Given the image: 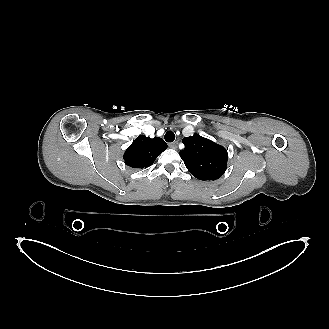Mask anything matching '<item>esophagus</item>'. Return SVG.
<instances>
[{
  "label": "esophagus",
  "instance_id": "esophagus-1",
  "mask_svg": "<svg viewBox=\"0 0 329 329\" xmlns=\"http://www.w3.org/2000/svg\"><path fill=\"white\" fill-rule=\"evenodd\" d=\"M177 146H178L177 142L169 143V147L172 148V149H177Z\"/></svg>",
  "mask_w": 329,
  "mask_h": 329
}]
</instances>
